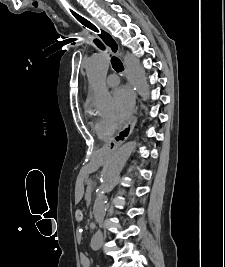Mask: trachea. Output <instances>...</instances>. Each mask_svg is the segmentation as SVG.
I'll list each match as a JSON object with an SVG mask.
<instances>
[{"instance_id": "trachea-1", "label": "trachea", "mask_w": 225, "mask_h": 267, "mask_svg": "<svg viewBox=\"0 0 225 267\" xmlns=\"http://www.w3.org/2000/svg\"><path fill=\"white\" fill-rule=\"evenodd\" d=\"M71 13L73 14V16L85 27L95 31V32H99L98 28L92 24L90 21H88L87 19H85L84 17L80 16L79 14H77L75 11L70 10ZM100 37L102 38V40L108 44L109 42V35L107 33H104L102 31V34L100 35ZM95 44L100 48V49H105L104 45L98 40L95 39ZM111 63H112V67L114 68V70L116 72H122L124 70V66L122 64V62L120 61V59H118L117 57H112L111 58Z\"/></svg>"}]
</instances>
